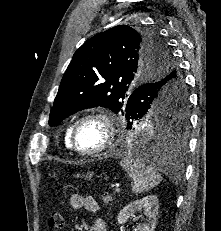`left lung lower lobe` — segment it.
I'll return each mask as SVG.
<instances>
[{
  "label": "left lung lower lobe",
  "mask_w": 221,
  "mask_h": 231,
  "mask_svg": "<svg viewBox=\"0 0 221 231\" xmlns=\"http://www.w3.org/2000/svg\"><path fill=\"white\" fill-rule=\"evenodd\" d=\"M158 85L157 84H149L145 88H137L135 89L132 94L129 96L128 102L132 105H137L139 99L141 98L142 91L145 89L147 90H152L151 88H156ZM182 89H185L184 86H182ZM186 93V91H185ZM187 98V95H186ZM176 106L179 103V99L176 100ZM130 116L127 117L128 125L127 129H131L133 123L137 120V116L131 112L129 114ZM136 137V139H135ZM135 141H138L139 144L144 146L143 154H146L153 149H159L162 150L167 156L168 159L166 162L171 163L174 160L180 159L183 154L185 153L186 150V140L183 132H178L176 134L168 136L167 134L164 136L159 135V132L157 133H138L134 137Z\"/></svg>",
  "instance_id": "left-lung-lower-lobe-1"
}]
</instances>
